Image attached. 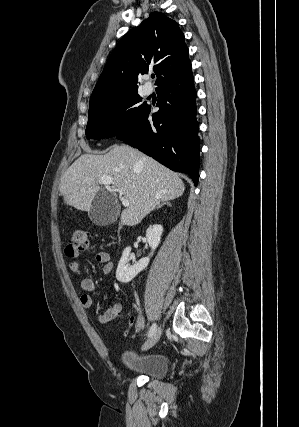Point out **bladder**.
<instances>
[{"instance_id": "bladder-1", "label": "bladder", "mask_w": 299, "mask_h": 427, "mask_svg": "<svg viewBox=\"0 0 299 427\" xmlns=\"http://www.w3.org/2000/svg\"><path fill=\"white\" fill-rule=\"evenodd\" d=\"M123 358L129 372L153 379L163 378L169 368L168 360L163 355L136 357L130 350H125Z\"/></svg>"}]
</instances>
